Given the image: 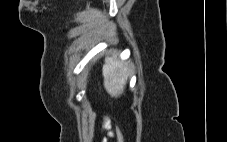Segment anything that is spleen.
Returning a JSON list of instances; mask_svg holds the SVG:
<instances>
[{
	"instance_id": "obj_1",
	"label": "spleen",
	"mask_w": 227,
	"mask_h": 142,
	"mask_svg": "<svg viewBox=\"0 0 227 142\" xmlns=\"http://www.w3.org/2000/svg\"><path fill=\"white\" fill-rule=\"evenodd\" d=\"M128 63L117 60V54L107 57L102 68L104 87L111 97H119L123 91L129 76Z\"/></svg>"
}]
</instances>
